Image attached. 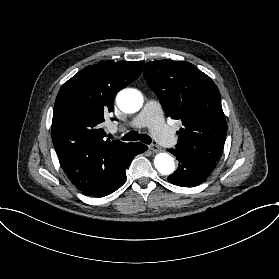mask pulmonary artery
<instances>
[{"label":"pulmonary artery","mask_w":279,"mask_h":279,"mask_svg":"<svg viewBox=\"0 0 279 279\" xmlns=\"http://www.w3.org/2000/svg\"><path fill=\"white\" fill-rule=\"evenodd\" d=\"M167 115L157 100H148L143 110L137 117H129L126 120H115L111 124L113 131L118 132L121 129L139 128L142 126H151L153 138L162 146L168 145L169 148L177 147L178 142L172 138L175 128L167 127L165 124Z\"/></svg>","instance_id":"obj_1"}]
</instances>
